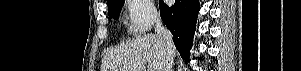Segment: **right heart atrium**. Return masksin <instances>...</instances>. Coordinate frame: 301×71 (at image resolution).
Listing matches in <instances>:
<instances>
[{"label": "right heart atrium", "instance_id": "obj_1", "mask_svg": "<svg viewBox=\"0 0 301 71\" xmlns=\"http://www.w3.org/2000/svg\"><path fill=\"white\" fill-rule=\"evenodd\" d=\"M127 25L135 34L147 32L155 23L157 13L151 0L126 1Z\"/></svg>", "mask_w": 301, "mask_h": 71}]
</instances>
